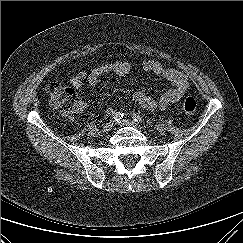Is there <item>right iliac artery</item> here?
Instances as JSON below:
<instances>
[{"mask_svg":"<svg viewBox=\"0 0 243 243\" xmlns=\"http://www.w3.org/2000/svg\"><path fill=\"white\" fill-rule=\"evenodd\" d=\"M124 117V114L121 112H116L112 117V122H118Z\"/></svg>","mask_w":243,"mask_h":243,"instance_id":"right-iliac-artery-1","label":"right iliac artery"}]
</instances>
